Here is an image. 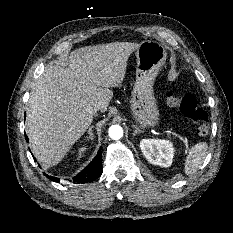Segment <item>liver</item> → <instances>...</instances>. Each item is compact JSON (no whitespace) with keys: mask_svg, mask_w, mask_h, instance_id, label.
<instances>
[{"mask_svg":"<svg viewBox=\"0 0 233 233\" xmlns=\"http://www.w3.org/2000/svg\"><path fill=\"white\" fill-rule=\"evenodd\" d=\"M140 44L113 42L76 49L68 67L51 64L32 88L26 133L45 168L58 164L90 126L98 107L105 112L119 86L127 61Z\"/></svg>","mask_w":233,"mask_h":233,"instance_id":"6515ba94","label":"liver"}]
</instances>
